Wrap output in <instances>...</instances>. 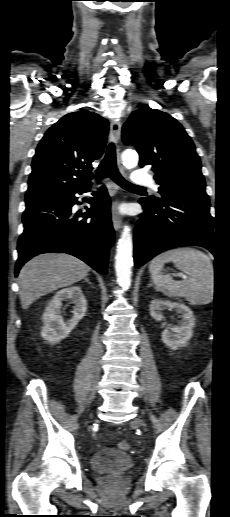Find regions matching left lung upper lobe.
<instances>
[{"mask_svg": "<svg viewBox=\"0 0 230 517\" xmlns=\"http://www.w3.org/2000/svg\"><path fill=\"white\" fill-rule=\"evenodd\" d=\"M125 145L135 146L139 165H151L160 185V198L149 197L153 204L179 195H207L200 158L182 125L169 114L142 107L123 125Z\"/></svg>", "mask_w": 230, "mask_h": 517, "instance_id": "obj_1", "label": "left lung upper lobe"}]
</instances>
